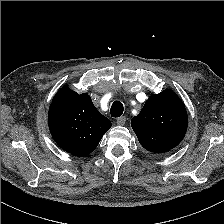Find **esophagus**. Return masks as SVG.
Returning a JSON list of instances; mask_svg holds the SVG:
<instances>
[{
  "mask_svg": "<svg viewBox=\"0 0 224 224\" xmlns=\"http://www.w3.org/2000/svg\"><path fill=\"white\" fill-rule=\"evenodd\" d=\"M126 123V117L125 116H121L117 119V124L120 126H123Z\"/></svg>",
  "mask_w": 224,
  "mask_h": 224,
  "instance_id": "obj_1",
  "label": "esophagus"
}]
</instances>
